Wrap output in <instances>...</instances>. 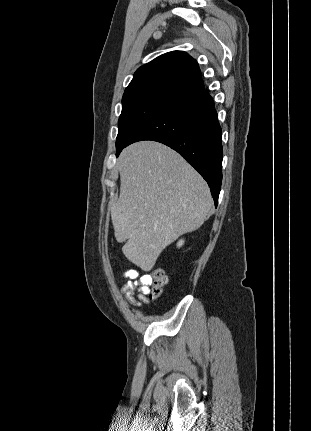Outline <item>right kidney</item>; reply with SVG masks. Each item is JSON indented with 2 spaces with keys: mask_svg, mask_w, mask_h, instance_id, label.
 Instances as JSON below:
<instances>
[{
  "mask_svg": "<svg viewBox=\"0 0 311 431\" xmlns=\"http://www.w3.org/2000/svg\"><path fill=\"white\" fill-rule=\"evenodd\" d=\"M183 243H184V239H179V241L177 243L178 247H181V245H183Z\"/></svg>",
  "mask_w": 311,
  "mask_h": 431,
  "instance_id": "ca27d5eb",
  "label": "right kidney"
}]
</instances>
